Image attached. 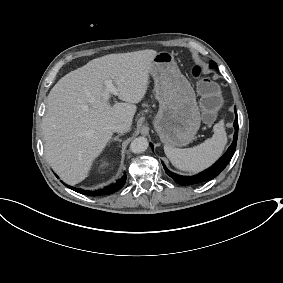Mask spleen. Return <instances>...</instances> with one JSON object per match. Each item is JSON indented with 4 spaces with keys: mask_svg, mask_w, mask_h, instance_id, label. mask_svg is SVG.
Segmentation results:
<instances>
[{
    "mask_svg": "<svg viewBox=\"0 0 283 283\" xmlns=\"http://www.w3.org/2000/svg\"><path fill=\"white\" fill-rule=\"evenodd\" d=\"M213 131L210 139L192 148L178 149L164 145L167 158L173 166L183 171L196 173L208 168L222 155L227 144L223 120L214 125Z\"/></svg>",
    "mask_w": 283,
    "mask_h": 283,
    "instance_id": "1",
    "label": "spleen"
}]
</instances>
